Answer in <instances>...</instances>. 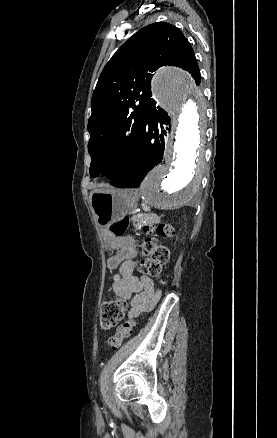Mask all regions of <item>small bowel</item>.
I'll list each match as a JSON object with an SVG mask.
<instances>
[{
	"instance_id": "obj_1",
	"label": "small bowel",
	"mask_w": 277,
	"mask_h": 438,
	"mask_svg": "<svg viewBox=\"0 0 277 438\" xmlns=\"http://www.w3.org/2000/svg\"><path fill=\"white\" fill-rule=\"evenodd\" d=\"M135 250L129 249L122 262L119 273L113 280V292L130 303L129 318H134L144 311L151 310L159 293L155 291L154 282L146 276L135 274L137 262Z\"/></svg>"
}]
</instances>
